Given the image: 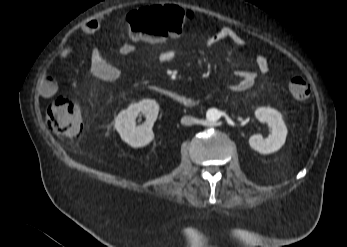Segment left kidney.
Here are the masks:
<instances>
[{
	"instance_id": "obj_1",
	"label": "left kidney",
	"mask_w": 347,
	"mask_h": 247,
	"mask_svg": "<svg viewBox=\"0 0 347 247\" xmlns=\"http://www.w3.org/2000/svg\"><path fill=\"white\" fill-rule=\"evenodd\" d=\"M255 116L260 122L270 126L271 134L266 139L260 134L252 135L249 138L250 147L261 154L279 150L284 145L288 133L281 113L273 108L261 107L255 111Z\"/></svg>"
}]
</instances>
